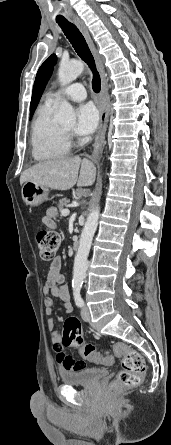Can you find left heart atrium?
Returning <instances> with one entry per match:
<instances>
[{
	"label": "left heart atrium",
	"instance_id": "left-heart-atrium-1",
	"mask_svg": "<svg viewBox=\"0 0 171 445\" xmlns=\"http://www.w3.org/2000/svg\"><path fill=\"white\" fill-rule=\"evenodd\" d=\"M99 123V111L93 103H85L77 109L75 132L78 135H89L95 131Z\"/></svg>",
	"mask_w": 171,
	"mask_h": 445
}]
</instances>
